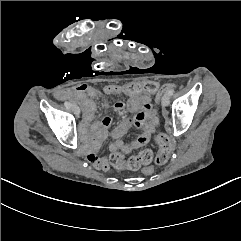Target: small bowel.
Segmentation results:
<instances>
[{"label": "small bowel", "instance_id": "c3829d8e", "mask_svg": "<svg viewBox=\"0 0 241 241\" xmlns=\"http://www.w3.org/2000/svg\"><path fill=\"white\" fill-rule=\"evenodd\" d=\"M122 85V84H121ZM119 84L106 85L102 91L97 88L80 84L72 89L63 90L58 93L60 99H75L79 101L84 107V125L88 126L92 120L95 111V105L92 101L87 99L102 97L106 95H126L121 90ZM152 94L142 95L141 97H134L133 95H126L128 97L127 103L119 100L113 104L114 111L122 112L125 107L132 112H136L132 118H124L112 130L113 142L109 146L111 154L120 152L121 154H129L145 146L151 139L152 134L156 131L159 123L157 111L149 104V97ZM103 104L108 106L104 99ZM111 126V118L104 117L101 123H95L92 127H87L83 131V136L87 140H92V149L85 154L86 160L95 168L107 170L109 169V161L107 158H99L97 154L100 152V143L108 135V129ZM131 126L139 130L140 134L137 138L130 142H125L121 138L126 134Z\"/></svg>", "mask_w": 241, "mask_h": 241}]
</instances>
